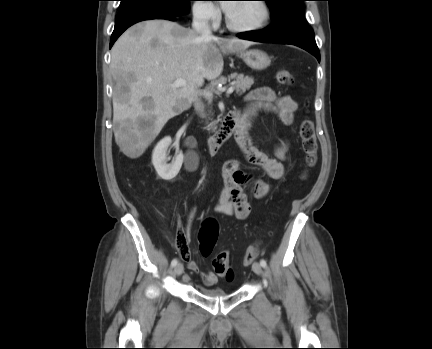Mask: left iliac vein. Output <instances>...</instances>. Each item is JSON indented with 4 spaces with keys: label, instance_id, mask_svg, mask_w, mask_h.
Listing matches in <instances>:
<instances>
[{
    "label": "left iliac vein",
    "instance_id": "obj_1",
    "mask_svg": "<svg viewBox=\"0 0 432 349\" xmlns=\"http://www.w3.org/2000/svg\"><path fill=\"white\" fill-rule=\"evenodd\" d=\"M252 269L256 274H258V275L262 274V267L258 262H255L253 264Z\"/></svg>",
    "mask_w": 432,
    "mask_h": 349
}]
</instances>
